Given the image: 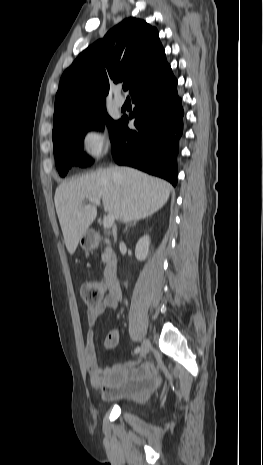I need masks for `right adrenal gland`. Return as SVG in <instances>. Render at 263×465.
<instances>
[{
  "label": "right adrenal gland",
  "instance_id": "2a0ac1e0",
  "mask_svg": "<svg viewBox=\"0 0 263 465\" xmlns=\"http://www.w3.org/2000/svg\"><path fill=\"white\" fill-rule=\"evenodd\" d=\"M136 223H137V220H134V221L131 222L128 226H126L125 232L127 231V229H128L129 226H133V225H135Z\"/></svg>",
  "mask_w": 263,
  "mask_h": 465
}]
</instances>
